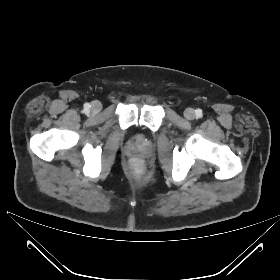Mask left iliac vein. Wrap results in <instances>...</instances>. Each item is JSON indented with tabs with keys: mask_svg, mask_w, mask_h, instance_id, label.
<instances>
[{
	"mask_svg": "<svg viewBox=\"0 0 280 280\" xmlns=\"http://www.w3.org/2000/svg\"><path fill=\"white\" fill-rule=\"evenodd\" d=\"M184 116L185 118H187L188 120H192L195 118V111L192 108H187L184 111Z\"/></svg>",
	"mask_w": 280,
	"mask_h": 280,
	"instance_id": "4c4485c4",
	"label": "left iliac vein"
}]
</instances>
